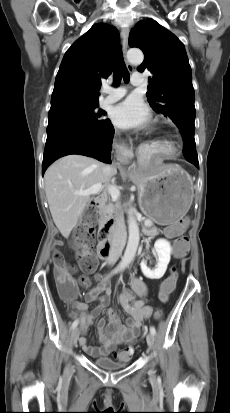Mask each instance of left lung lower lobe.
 I'll return each instance as SVG.
<instances>
[{
    "mask_svg": "<svg viewBox=\"0 0 230 413\" xmlns=\"http://www.w3.org/2000/svg\"><path fill=\"white\" fill-rule=\"evenodd\" d=\"M183 140H184V150L183 154L186 160L193 165H195L197 168H199V162H198V155L196 152V147H195V139H194V134L189 133V132H184L182 134Z\"/></svg>",
    "mask_w": 230,
    "mask_h": 413,
    "instance_id": "0a47b994",
    "label": "left lung lower lobe"
}]
</instances>
